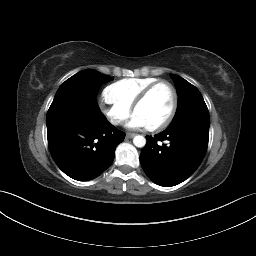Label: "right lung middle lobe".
<instances>
[{"mask_svg":"<svg viewBox=\"0 0 256 256\" xmlns=\"http://www.w3.org/2000/svg\"><path fill=\"white\" fill-rule=\"evenodd\" d=\"M111 80L113 79L93 69H86L73 75L59 87L47 115L58 110L87 108L91 102L86 86L91 88V96L95 102L99 88Z\"/></svg>","mask_w":256,"mask_h":256,"instance_id":"dd1d6c3e","label":"right lung middle lobe"}]
</instances>
